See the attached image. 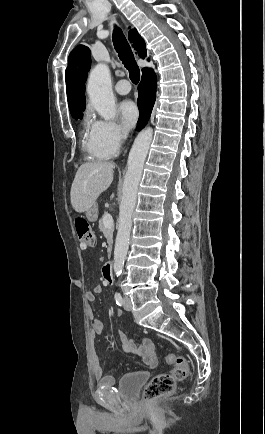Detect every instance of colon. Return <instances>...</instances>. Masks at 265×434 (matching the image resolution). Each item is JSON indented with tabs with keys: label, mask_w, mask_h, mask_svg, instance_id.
Returning <instances> with one entry per match:
<instances>
[{
	"label": "colon",
	"mask_w": 265,
	"mask_h": 434,
	"mask_svg": "<svg viewBox=\"0 0 265 434\" xmlns=\"http://www.w3.org/2000/svg\"><path fill=\"white\" fill-rule=\"evenodd\" d=\"M75 232L81 248L90 250L94 247L96 237L87 220L76 219L74 221ZM166 363L172 366L171 373H157L144 389V400L150 403L154 396L171 393L175 390L176 382L187 379L189 375V365L187 361L174 354L166 357Z\"/></svg>",
	"instance_id": "colon-1"
}]
</instances>
